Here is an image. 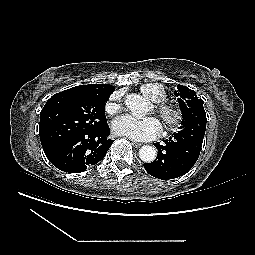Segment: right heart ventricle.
Here are the masks:
<instances>
[{
    "mask_svg": "<svg viewBox=\"0 0 255 255\" xmlns=\"http://www.w3.org/2000/svg\"><path fill=\"white\" fill-rule=\"evenodd\" d=\"M140 93L153 103H160L167 98L166 91L157 84H144L140 87Z\"/></svg>",
    "mask_w": 255,
    "mask_h": 255,
    "instance_id": "obj_1",
    "label": "right heart ventricle"
}]
</instances>
